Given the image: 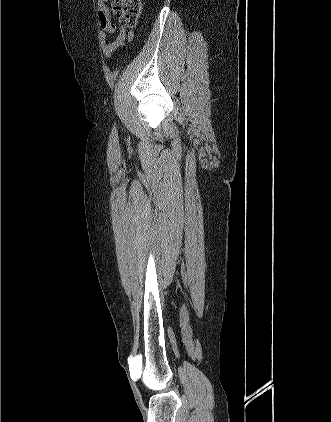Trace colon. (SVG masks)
Returning a JSON list of instances; mask_svg holds the SVG:
<instances>
[{"label": "colon", "instance_id": "5ec220e1", "mask_svg": "<svg viewBox=\"0 0 331 422\" xmlns=\"http://www.w3.org/2000/svg\"><path fill=\"white\" fill-rule=\"evenodd\" d=\"M114 16L124 27H133L142 11L141 0H107Z\"/></svg>", "mask_w": 331, "mask_h": 422}]
</instances>
